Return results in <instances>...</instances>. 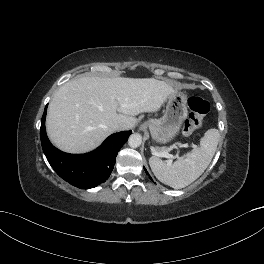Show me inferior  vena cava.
<instances>
[{
  "mask_svg": "<svg viewBox=\"0 0 264 264\" xmlns=\"http://www.w3.org/2000/svg\"><path fill=\"white\" fill-rule=\"evenodd\" d=\"M113 129H114L115 131H117V130H123V129H124V125H123L122 123H115V124L113 125Z\"/></svg>",
  "mask_w": 264,
  "mask_h": 264,
  "instance_id": "602c4592",
  "label": "inferior vena cava"
}]
</instances>
